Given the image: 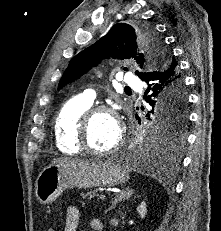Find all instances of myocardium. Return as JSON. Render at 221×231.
Segmentation results:
<instances>
[{"instance_id":"1","label":"myocardium","mask_w":221,"mask_h":231,"mask_svg":"<svg viewBox=\"0 0 221 231\" xmlns=\"http://www.w3.org/2000/svg\"><path fill=\"white\" fill-rule=\"evenodd\" d=\"M100 113H106L111 115L118 128V138L117 141L108 149L106 150H95L91 148L89 145L88 141V134H89V126L92 121V119ZM125 138V125L123 121L120 118V115L118 111L109 105H96V106H91L88 108L83 115L81 116L79 122H78V135H77V142L81 149L84 151L88 152L89 154L92 155H97V156H105L112 154L116 152L123 144Z\"/></svg>"}]
</instances>
